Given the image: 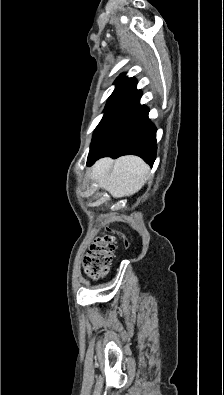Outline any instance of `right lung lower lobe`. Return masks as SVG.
<instances>
[{
    "label": "right lung lower lobe",
    "instance_id": "obj_1",
    "mask_svg": "<svg viewBox=\"0 0 224 395\" xmlns=\"http://www.w3.org/2000/svg\"><path fill=\"white\" fill-rule=\"evenodd\" d=\"M136 80L121 75L109 97L105 114L95 129L87 164L101 157L137 155L150 166L156 157V128L148 118L149 109L140 105L141 91Z\"/></svg>",
    "mask_w": 224,
    "mask_h": 395
}]
</instances>
